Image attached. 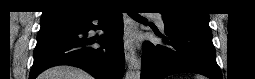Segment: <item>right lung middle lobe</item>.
<instances>
[{"label": "right lung middle lobe", "mask_w": 255, "mask_h": 79, "mask_svg": "<svg viewBox=\"0 0 255 79\" xmlns=\"http://www.w3.org/2000/svg\"><path fill=\"white\" fill-rule=\"evenodd\" d=\"M72 17H77V16L69 14V13H61L58 15L41 18L40 23H41V26L48 25V24H54V23L62 22L64 20H67Z\"/></svg>", "instance_id": "obj_1"}]
</instances>
